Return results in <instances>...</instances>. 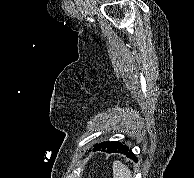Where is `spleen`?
<instances>
[{"instance_id": "spleen-1", "label": "spleen", "mask_w": 194, "mask_h": 178, "mask_svg": "<svg viewBox=\"0 0 194 178\" xmlns=\"http://www.w3.org/2000/svg\"><path fill=\"white\" fill-rule=\"evenodd\" d=\"M113 178H131L130 169L125 166L121 161L113 162Z\"/></svg>"}]
</instances>
